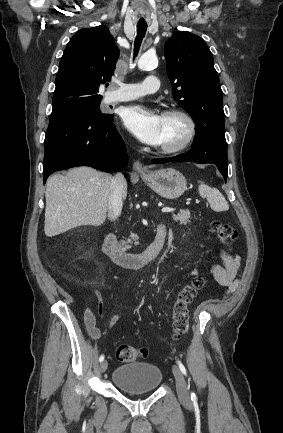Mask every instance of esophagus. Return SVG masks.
<instances>
[{"label":"esophagus","mask_w":283,"mask_h":433,"mask_svg":"<svg viewBox=\"0 0 283 433\" xmlns=\"http://www.w3.org/2000/svg\"><path fill=\"white\" fill-rule=\"evenodd\" d=\"M133 169L141 173L146 171L145 167H143V165L139 161L134 162Z\"/></svg>","instance_id":"esophagus-1"}]
</instances>
